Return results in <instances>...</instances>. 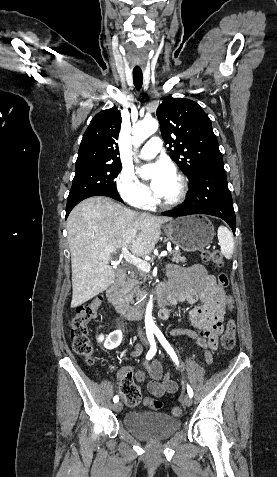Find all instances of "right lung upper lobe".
Instances as JSON below:
<instances>
[{
    "mask_svg": "<svg viewBox=\"0 0 277 477\" xmlns=\"http://www.w3.org/2000/svg\"><path fill=\"white\" fill-rule=\"evenodd\" d=\"M121 121L120 112L115 107L103 110L93 117L83 135L76 168L90 164L121 163L116 143Z\"/></svg>",
    "mask_w": 277,
    "mask_h": 477,
    "instance_id": "cb5924a9",
    "label": "right lung upper lobe"
}]
</instances>
